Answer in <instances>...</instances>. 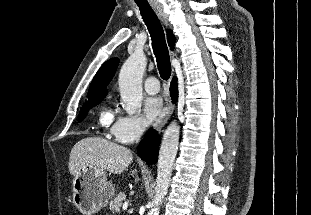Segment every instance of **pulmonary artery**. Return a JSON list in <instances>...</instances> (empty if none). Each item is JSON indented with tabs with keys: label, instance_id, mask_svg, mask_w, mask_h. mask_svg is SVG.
<instances>
[{
	"label": "pulmonary artery",
	"instance_id": "1",
	"mask_svg": "<svg viewBox=\"0 0 311 215\" xmlns=\"http://www.w3.org/2000/svg\"><path fill=\"white\" fill-rule=\"evenodd\" d=\"M144 88L148 93L156 94L160 89L159 82H158L157 78L148 77L144 82Z\"/></svg>",
	"mask_w": 311,
	"mask_h": 215
}]
</instances>
